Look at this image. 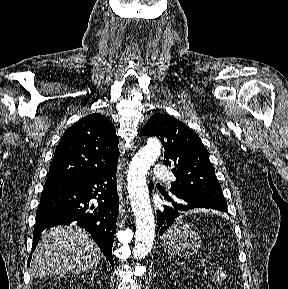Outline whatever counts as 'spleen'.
<instances>
[{"label":"spleen","mask_w":288,"mask_h":289,"mask_svg":"<svg viewBox=\"0 0 288 289\" xmlns=\"http://www.w3.org/2000/svg\"><path fill=\"white\" fill-rule=\"evenodd\" d=\"M192 225L184 223L182 220L177 221L173 224L168 231L163 235V240L170 239L171 237L178 235L180 233L186 232L191 229Z\"/></svg>","instance_id":"3e777b00"}]
</instances>
